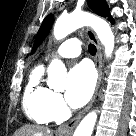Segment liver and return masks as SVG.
Returning a JSON list of instances; mask_svg holds the SVG:
<instances>
[{
    "instance_id": "6515ba94",
    "label": "liver",
    "mask_w": 136,
    "mask_h": 136,
    "mask_svg": "<svg viewBox=\"0 0 136 136\" xmlns=\"http://www.w3.org/2000/svg\"><path fill=\"white\" fill-rule=\"evenodd\" d=\"M14 136H51L50 130L38 125H25L18 129Z\"/></svg>"
}]
</instances>
